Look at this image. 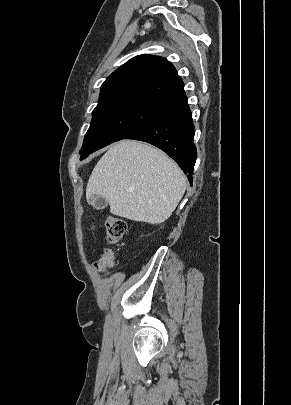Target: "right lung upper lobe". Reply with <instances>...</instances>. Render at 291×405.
Wrapping results in <instances>:
<instances>
[{
	"label": "right lung upper lobe",
	"mask_w": 291,
	"mask_h": 405,
	"mask_svg": "<svg viewBox=\"0 0 291 405\" xmlns=\"http://www.w3.org/2000/svg\"><path fill=\"white\" fill-rule=\"evenodd\" d=\"M183 88L182 79L167 59L143 54L130 59L105 80L98 105L127 99L170 105L185 94Z\"/></svg>",
	"instance_id": "obj_1"
}]
</instances>
